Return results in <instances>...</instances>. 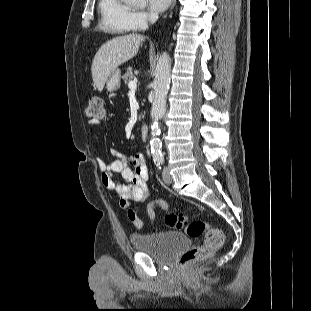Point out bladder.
I'll return each instance as SVG.
<instances>
[{"label":"bladder","mask_w":311,"mask_h":311,"mask_svg":"<svg viewBox=\"0 0 311 311\" xmlns=\"http://www.w3.org/2000/svg\"><path fill=\"white\" fill-rule=\"evenodd\" d=\"M134 250L152 254L162 262L172 261L190 246L189 238L177 231L134 233L130 236Z\"/></svg>","instance_id":"obj_1"}]
</instances>
